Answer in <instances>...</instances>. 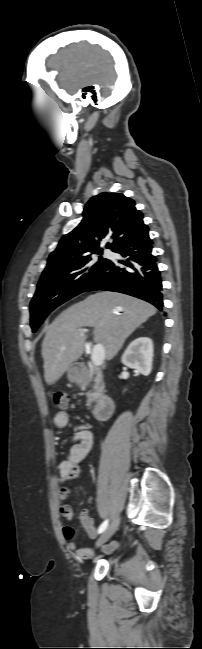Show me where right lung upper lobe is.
I'll use <instances>...</instances> for the list:
<instances>
[{"label":"right lung upper lobe","instance_id":"1","mask_svg":"<svg viewBox=\"0 0 202 649\" xmlns=\"http://www.w3.org/2000/svg\"><path fill=\"white\" fill-rule=\"evenodd\" d=\"M147 228L134 200L118 193L104 192L94 196L84 208L81 223L64 235L56 250L49 255L41 278L68 271L76 259L93 251H102L99 244L107 236L114 240L107 247L114 249L121 241Z\"/></svg>","mask_w":202,"mask_h":649}]
</instances>
